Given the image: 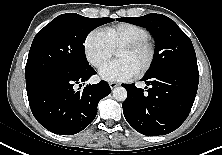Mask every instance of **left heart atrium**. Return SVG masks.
Wrapping results in <instances>:
<instances>
[{"label": "left heart atrium", "mask_w": 222, "mask_h": 155, "mask_svg": "<svg viewBox=\"0 0 222 155\" xmlns=\"http://www.w3.org/2000/svg\"><path fill=\"white\" fill-rule=\"evenodd\" d=\"M102 79L107 81L121 82L135 76V71L122 60H115L106 64L99 72Z\"/></svg>", "instance_id": "39dd6f15"}]
</instances>
